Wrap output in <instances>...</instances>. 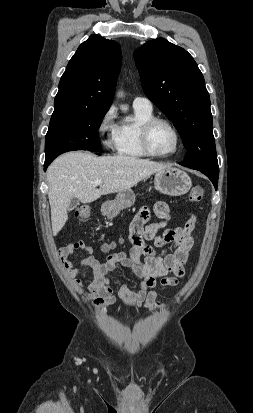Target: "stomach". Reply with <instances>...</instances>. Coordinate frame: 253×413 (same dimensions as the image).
Instances as JSON below:
<instances>
[{"instance_id":"obj_1","label":"stomach","mask_w":253,"mask_h":413,"mask_svg":"<svg viewBox=\"0 0 253 413\" xmlns=\"http://www.w3.org/2000/svg\"><path fill=\"white\" fill-rule=\"evenodd\" d=\"M154 186L160 193L169 196H182L192 187L188 174L174 167L165 168L155 173ZM135 202V194L129 189L119 192L112 201L105 202L102 213L108 218H114L121 210L131 207Z\"/></svg>"}]
</instances>
